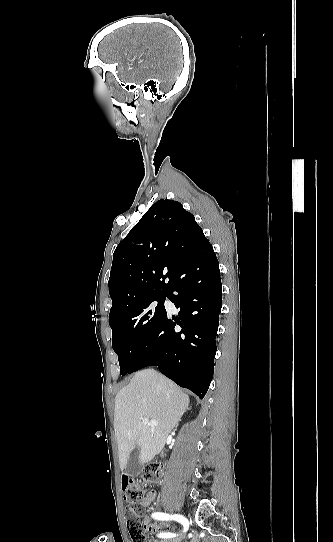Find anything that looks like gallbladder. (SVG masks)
I'll use <instances>...</instances> for the list:
<instances>
[{
	"label": "gallbladder",
	"instance_id": "1",
	"mask_svg": "<svg viewBox=\"0 0 333 542\" xmlns=\"http://www.w3.org/2000/svg\"><path fill=\"white\" fill-rule=\"evenodd\" d=\"M139 456H140V448L136 446V448L132 450L129 456V460H128V464L126 468V472L128 476H132V478H136V476H138V474H140V472H142L143 470V464H140Z\"/></svg>",
	"mask_w": 333,
	"mask_h": 542
}]
</instances>
